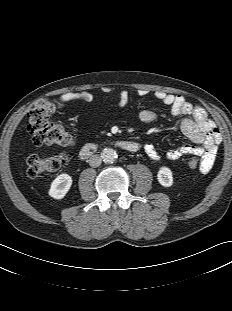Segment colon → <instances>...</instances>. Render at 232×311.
Wrapping results in <instances>:
<instances>
[{
	"label": "colon",
	"instance_id": "5ec220e1",
	"mask_svg": "<svg viewBox=\"0 0 232 311\" xmlns=\"http://www.w3.org/2000/svg\"><path fill=\"white\" fill-rule=\"evenodd\" d=\"M58 101L50 99L38 100L30 110L28 118V132L35 146L60 145L69 146L73 139L70 133L62 126L50 121V115L59 108ZM65 154L54 156L29 155L27 157V173L30 177L55 172L66 162ZM190 169H196L198 159L192 157L187 163Z\"/></svg>",
	"mask_w": 232,
	"mask_h": 311
}]
</instances>
